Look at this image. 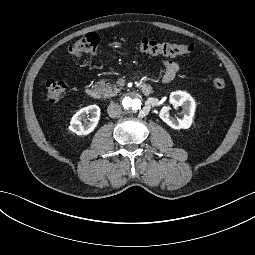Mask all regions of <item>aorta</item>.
Returning a JSON list of instances; mask_svg holds the SVG:
<instances>
[{"label": "aorta", "mask_w": 255, "mask_h": 255, "mask_svg": "<svg viewBox=\"0 0 255 255\" xmlns=\"http://www.w3.org/2000/svg\"><path fill=\"white\" fill-rule=\"evenodd\" d=\"M123 105L126 110L130 112H136L141 109L142 101L140 97H138L136 94H133L123 99Z\"/></svg>", "instance_id": "762f6f07"}]
</instances>
